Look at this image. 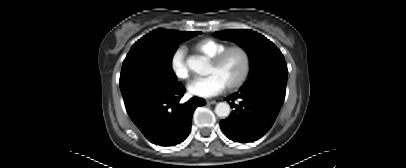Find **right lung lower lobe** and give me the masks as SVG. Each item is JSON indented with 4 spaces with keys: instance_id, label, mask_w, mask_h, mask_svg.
<instances>
[{
    "instance_id": "obj_1",
    "label": "right lung lower lobe",
    "mask_w": 406,
    "mask_h": 168,
    "mask_svg": "<svg viewBox=\"0 0 406 168\" xmlns=\"http://www.w3.org/2000/svg\"><path fill=\"white\" fill-rule=\"evenodd\" d=\"M184 92V86L179 83L172 90L129 113L149 141L161 146H174L187 138L195 108L206 102L202 98L193 97L185 104H179Z\"/></svg>"
}]
</instances>
